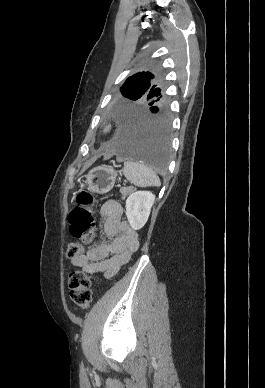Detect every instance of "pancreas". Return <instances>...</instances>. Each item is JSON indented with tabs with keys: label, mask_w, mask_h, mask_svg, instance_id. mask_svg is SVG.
<instances>
[{
	"label": "pancreas",
	"mask_w": 265,
	"mask_h": 388,
	"mask_svg": "<svg viewBox=\"0 0 265 388\" xmlns=\"http://www.w3.org/2000/svg\"><path fill=\"white\" fill-rule=\"evenodd\" d=\"M122 196H127V194H129V192H132V188H121L120 190Z\"/></svg>",
	"instance_id": "pancreas-1"
}]
</instances>
